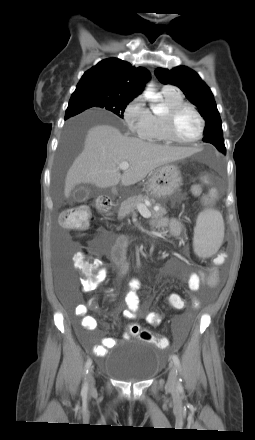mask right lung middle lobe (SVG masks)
Returning a JSON list of instances; mask_svg holds the SVG:
<instances>
[{
	"label": "right lung middle lobe",
	"mask_w": 255,
	"mask_h": 440,
	"mask_svg": "<svg viewBox=\"0 0 255 440\" xmlns=\"http://www.w3.org/2000/svg\"><path fill=\"white\" fill-rule=\"evenodd\" d=\"M131 99L109 96L99 92L73 93L66 110L65 118H69L92 107L103 108L123 118V113Z\"/></svg>",
	"instance_id": "obj_1"
}]
</instances>
